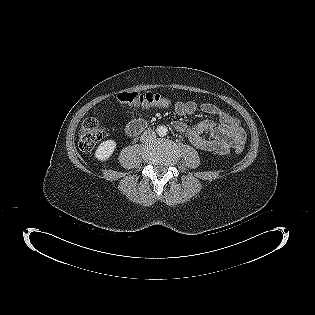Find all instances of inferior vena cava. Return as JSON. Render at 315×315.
Returning a JSON list of instances; mask_svg holds the SVG:
<instances>
[{
    "mask_svg": "<svg viewBox=\"0 0 315 315\" xmlns=\"http://www.w3.org/2000/svg\"><path fill=\"white\" fill-rule=\"evenodd\" d=\"M157 137L156 133L154 131H146L141 135V141L142 142H149L155 140Z\"/></svg>",
    "mask_w": 315,
    "mask_h": 315,
    "instance_id": "obj_1",
    "label": "inferior vena cava"
}]
</instances>
